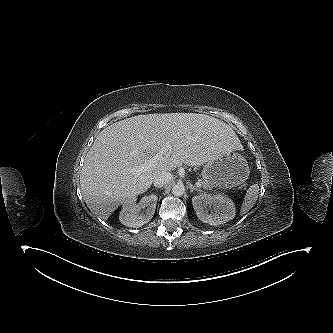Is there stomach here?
<instances>
[{
	"mask_svg": "<svg viewBox=\"0 0 333 333\" xmlns=\"http://www.w3.org/2000/svg\"><path fill=\"white\" fill-rule=\"evenodd\" d=\"M249 173L245 158L231 152L207 162L202 170V179L211 187L229 189L245 182Z\"/></svg>",
	"mask_w": 333,
	"mask_h": 333,
	"instance_id": "stomach-1",
	"label": "stomach"
}]
</instances>
